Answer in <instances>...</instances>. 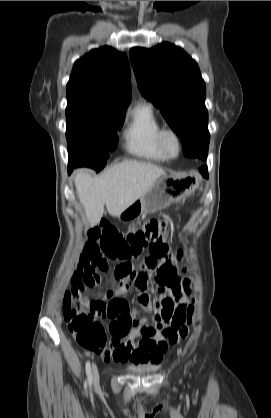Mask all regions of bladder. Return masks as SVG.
Instances as JSON below:
<instances>
[{
  "label": "bladder",
  "mask_w": 271,
  "mask_h": 418,
  "mask_svg": "<svg viewBox=\"0 0 271 418\" xmlns=\"http://www.w3.org/2000/svg\"><path fill=\"white\" fill-rule=\"evenodd\" d=\"M135 372H137V373H143V372H146V370H135Z\"/></svg>",
  "instance_id": "bladder-1"
}]
</instances>
